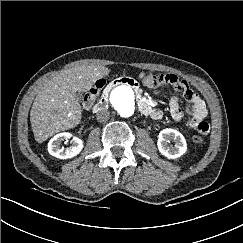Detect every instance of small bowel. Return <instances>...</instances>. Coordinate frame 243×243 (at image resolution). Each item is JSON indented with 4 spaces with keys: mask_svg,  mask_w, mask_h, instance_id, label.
<instances>
[{
    "mask_svg": "<svg viewBox=\"0 0 243 243\" xmlns=\"http://www.w3.org/2000/svg\"><path fill=\"white\" fill-rule=\"evenodd\" d=\"M167 78V83L165 85H170L174 90L181 92L183 97L188 103L186 112L189 115V125L195 128L201 135H207L210 132V125L206 121L207 108L205 102L201 97L194 92L185 80H180L174 74L164 75ZM160 95H164V89L158 91ZM170 115L173 120L180 122L183 119V112L179 106V101L177 97H171L170 102ZM163 115L162 111L159 109H153L151 116L155 119L161 118Z\"/></svg>",
    "mask_w": 243,
    "mask_h": 243,
    "instance_id": "1",
    "label": "small bowel"
}]
</instances>
